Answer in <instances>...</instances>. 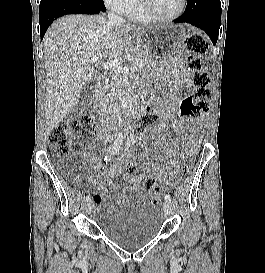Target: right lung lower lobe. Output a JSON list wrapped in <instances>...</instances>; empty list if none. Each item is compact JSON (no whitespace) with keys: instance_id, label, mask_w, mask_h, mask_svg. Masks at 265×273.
I'll use <instances>...</instances> for the list:
<instances>
[{"instance_id":"right-lung-lower-lobe-1","label":"right lung lower lobe","mask_w":265,"mask_h":273,"mask_svg":"<svg viewBox=\"0 0 265 273\" xmlns=\"http://www.w3.org/2000/svg\"><path fill=\"white\" fill-rule=\"evenodd\" d=\"M94 4H79L65 0H44L39 6V24L41 40L50 24L57 18L67 14H97L104 12Z\"/></svg>"}]
</instances>
